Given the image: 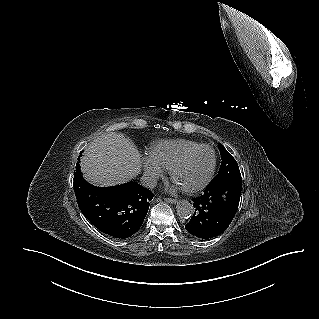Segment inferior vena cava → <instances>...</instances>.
<instances>
[{"label": "inferior vena cava", "mask_w": 319, "mask_h": 319, "mask_svg": "<svg viewBox=\"0 0 319 319\" xmlns=\"http://www.w3.org/2000/svg\"><path fill=\"white\" fill-rule=\"evenodd\" d=\"M140 181L142 186L148 189H153L157 185V178L152 174H143Z\"/></svg>", "instance_id": "602c4592"}]
</instances>
